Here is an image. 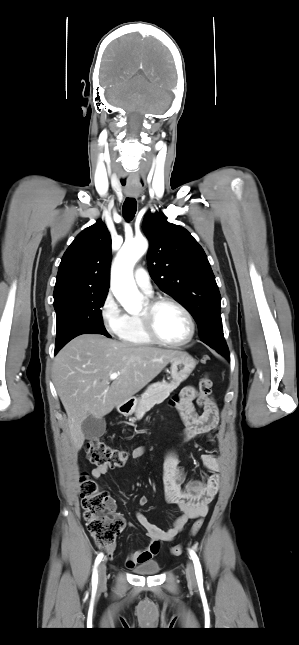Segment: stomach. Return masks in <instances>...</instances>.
Segmentation results:
<instances>
[{"label":"stomach","mask_w":299,"mask_h":645,"mask_svg":"<svg viewBox=\"0 0 299 645\" xmlns=\"http://www.w3.org/2000/svg\"><path fill=\"white\" fill-rule=\"evenodd\" d=\"M196 360L192 358L188 353L183 352L181 355L177 356L171 361V377L174 382L181 383L185 381L193 370L196 367ZM139 400L136 398H130L125 402L124 409L122 413L124 415H131L137 405Z\"/></svg>","instance_id":"1"}]
</instances>
